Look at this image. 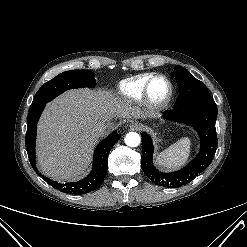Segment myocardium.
Here are the masks:
<instances>
[{"label": "myocardium", "instance_id": "obj_1", "mask_svg": "<svg viewBox=\"0 0 247 247\" xmlns=\"http://www.w3.org/2000/svg\"><path fill=\"white\" fill-rule=\"evenodd\" d=\"M159 79L164 80L168 85V92L162 98L154 97L151 92L153 83ZM173 93H174V87H173L171 80L163 74H156V75H153L145 85L144 99L147 105L150 106L151 108L162 109V108H165L170 103L173 97Z\"/></svg>", "mask_w": 247, "mask_h": 247}]
</instances>
